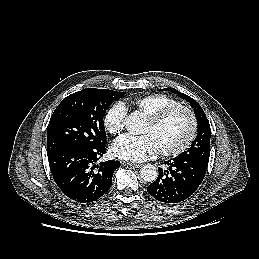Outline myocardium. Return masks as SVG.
I'll return each instance as SVG.
<instances>
[{
  "label": "myocardium",
  "instance_id": "1",
  "mask_svg": "<svg viewBox=\"0 0 259 259\" xmlns=\"http://www.w3.org/2000/svg\"><path fill=\"white\" fill-rule=\"evenodd\" d=\"M183 111L190 119V130L186 138L177 146L170 149H161L159 153L166 157H173L183 153L194 141L198 131V120L195 112L188 106L178 104L167 107L148 118V122L152 127H157L174 113Z\"/></svg>",
  "mask_w": 259,
  "mask_h": 259
}]
</instances>
